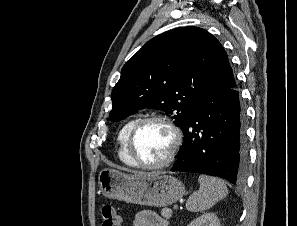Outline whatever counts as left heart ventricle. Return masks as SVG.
Wrapping results in <instances>:
<instances>
[{
	"mask_svg": "<svg viewBox=\"0 0 297 226\" xmlns=\"http://www.w3.org/2000/svg\"><path fill=\"white\" fill-rule=\"evenodd\" d=\"M171 131L160 122L144 124L136 134L134 150L138 158L146 164L162 161L172 145Z\"/></svg>",
	"mask_w": 297,
	"mask_h": 226,
	"instance_id": "obj_1",
	"label": "left heart ventricle"
}]
</instances>
